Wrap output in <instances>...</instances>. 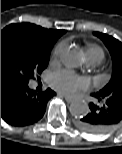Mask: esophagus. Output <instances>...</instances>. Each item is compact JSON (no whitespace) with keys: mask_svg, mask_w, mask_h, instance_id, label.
<instances>
[{"mask_svg":"<svg viewBox=\"0 0 122 154\" xmlns=\"http://www.w3.org/2000/svg\"><path fill=\"white\" fill-rule=\"evenodd\" d=\"M60 95H62L65 98V100H66L67 103H72L74 101V99L71 98V97H69V96H66L64 94H60Z\"/></svg>","mask_w":122,"mask_h":154,"instance_id":"1","label":"esophagus"}]
</instances>
